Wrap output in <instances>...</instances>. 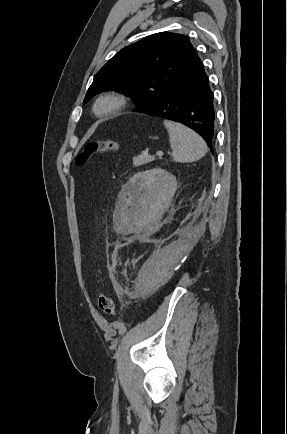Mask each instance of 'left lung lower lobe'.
Segmentation results:
<instances>
[{
	"mask_svg": "<svg viewBox=\"0 0 287 434\" xmlns=\"http://www.w3.org/2000/svg\"><path fill=\"white\" fill-rule=\"evenodd\" d=\"M137 112L186 125L201 135L213 151V93L200 60L185 72L156 104Z\"/></svg>",
	"mask_w": 287,
	"mask_h": 434,
	"instance_id": "left-lung-lower-lobe-1",
	"label": "left lung lower lobe"
}]
</instances>
